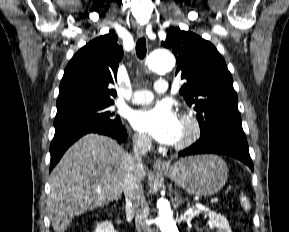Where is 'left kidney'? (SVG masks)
Returning a JSON list of instances; mask_svg holds the SVG:
<instances>
[{"mask_svg":"<svg viewBox=\"0 0 289 232\" xmlns=\"http://www.w3.org/2000/svg\"><path fill=\"white\" fill-rule=\"evenodd\" d=\"M208 216L211 226L217 228L218 232H232L229 222L224 216L215 211H209Z\"/></svg>","mask_w":289,"mask_h":232,"instance_id":"obj_1","label":"left kidney"}]
</instances>
